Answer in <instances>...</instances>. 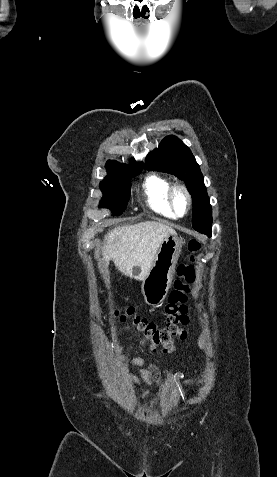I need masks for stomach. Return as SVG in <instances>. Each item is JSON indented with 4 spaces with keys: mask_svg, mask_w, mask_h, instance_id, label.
I'll list each match as a JSON object with an SVG mask.
<instances>
[{
    "mask_svg": "<svg viewBox=\"0 0 277 477\" xmlns=\"http://www.w3.org/2000/svg\"><path fill=\"white\" fill-rule=\"evenodd\" d=\"M183 242L176 235H168L161 243L148 275L143 279L141 293L146 304L156 307L170 289Z\"/></svg>",
    "mask_w": 277,
    "mask_h": 477,
    "instance_id": "0dacf381",
    "label": "stomach"
}]
</instances>
